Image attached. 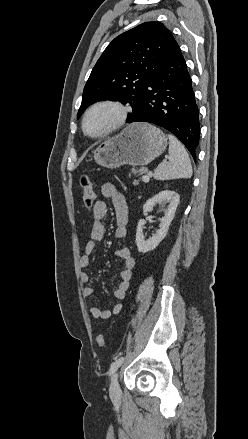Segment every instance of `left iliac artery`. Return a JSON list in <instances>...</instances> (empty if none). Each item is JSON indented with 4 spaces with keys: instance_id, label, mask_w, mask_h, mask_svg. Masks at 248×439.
<instances>
[{
    "instance_id": "44dca946",
    "label": "left iliac artery",
    "mask_w": 248,
    "mask_h": 439,
    "mask_svg": "<svg viewBox=\"0 0 248 439\" xmlns=\"http://www.w3.org/2000/svg\"><path fill=\"white\" fill-rule=\"evenodd\" d=\"M124 357H120L116 359L110 366V375L114 374L115 371L120 367V365L124 362Z\"/></svg>"
}]
</instances>
